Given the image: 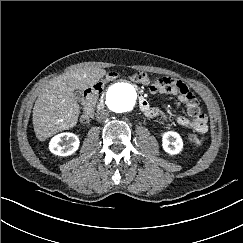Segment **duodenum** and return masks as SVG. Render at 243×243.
<instances>
[{"mask_svg": "<svg viewBox=\"0 0 243 243\" xmlns=\"http://www.w3.org/2000/svg\"><path fill=\"white\" fill-rule=\"evenodd\" d=\"M138 101H139V105H140L141 110L144 113L148 112L149 111V105H148V102L146 101V99L142 95H139ZM97 107H98V109H102L104 107V101L100 100Z\"/></svg>", "mask_w": 243, "mask_h": 243, "instance_id": "obj_1", "label": "duodenum"}]
</instances>
